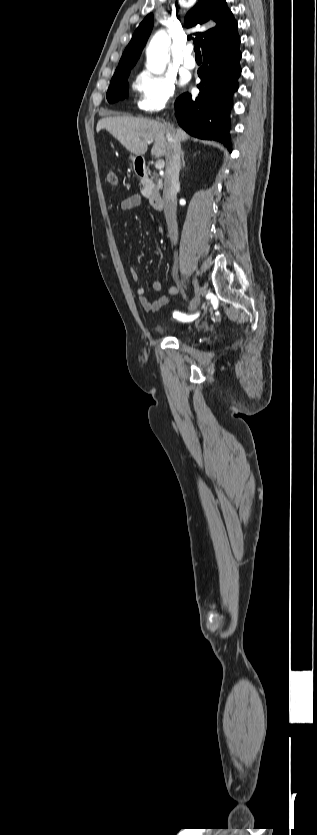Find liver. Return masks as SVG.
I'll return each mask as SVG.
<instances>
[{
	"instance_id": "obj_1",
	"label": "liver",
	"mask_w": 317,
	"mask_h": 835,
	"mask_svg": "<svg viewBox=\"0 0 317 835\" xmlns=\"http://www.w3.org/2000/svg\"><path fill=\"white\" fill-rule=\"evenodd\" d=\"M102 129L107 130L136 156L144 155L147 152L151 140H155L151 154L157 157L166 155L168 148V141L166 140L167 124L146 118L109 116L98 121L96 131L99 132ZM175 133L179 141H185L189 138V135L181 128H177Z\"/></svg>"
}]
</instances>
